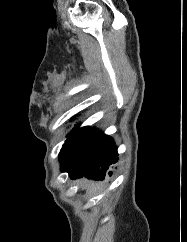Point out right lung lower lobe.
Instances as JSON below:
<instances>
[{
  "label": "right lung lower lobe",
  "mask_w": 187,
  "mask_h": 242,
  "mask_svg": "<svg viewBox=\"0 0 187 242\" xmlns=\"http://www.w3.org/2000/svg\"><path fill=\"white\" fill-rule=\"evenodd\" d=\"M59 160L61 171L68 172L72 179L85 176L104 180L112 175L110 169L118 161V153L111 137L88 126L67 136Z\"/></svg>",
  "instance_id": "1"
}]
</instances>
